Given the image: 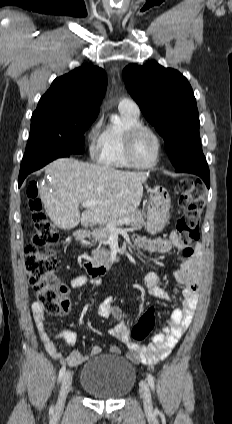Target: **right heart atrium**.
I'll return each instance as SVG.
<instances>
[{"mask_svg":"<svg viewBox=\"0 0 232 424\" xmlns=\"http://www.w3.org/2000/svg\"><path fill=\"white\" fill-rule=\"evenodd\" d=\"M99 121L94 122L88 129L86 134L87 147L90 156L94 157L100 150V139L98 135Z\"/></svg>","mask_w":232,"mask_h":424,"instance_id":"1","label":"right heart atrium"}]
</instances>
